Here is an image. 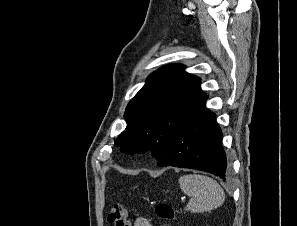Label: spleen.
Instances as JSON below:
<instances>
[{
  "label": "spleen",
  "instance_id": "3e777b00",
  "mask_svg": "<svg viewBox=\"0 0 297 226\" xmlns=\"http://www.w3.org/2000/svg\"><path fill=\"white\" fill-rule=\"evenodd\" d=\"M179 185L183 193L191 199L185 209L187 211L203 213L221 206L225 200V193L221 186L212 178L187 174L179 178Z\"/></svg>",
  "mask_w": 297,
  "mask_h": 226
}]
</instances>
